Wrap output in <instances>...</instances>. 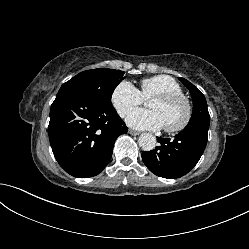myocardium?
Wrapping results in <instances>:
<instances>
[{
	"mask_svg": "<svg viewBox=\"0 0 249 249\" xmlns=\"http://www.w3.org/2000/svg\"><path fill=\"white\" fill-rule=\"evenodd\" d=\"M153 99L164 103L181 102L185 107V116L183 120L176 126H164L166 132L169 133L181 132L189 125L193 115V107L191 101L187 96H185L182 93H167V94H159L153 97Z\"/></svg>",
	"mask_w": 249,
	"mask_h": 249,
	"instance_id": "f54148a6",
	"label": "myocardium"
}]
</instances>
